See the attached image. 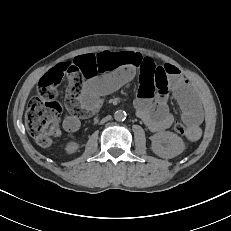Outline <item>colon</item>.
Here are the masks:
<instances>
[{"mask_svg":"<svg viewBox=\"0 0 231 231\" xmlns=\"http://www.w3.org/2000/svg\"><path fill=\"white\" fill-rule=\"evenodd\" d=\"M58 91L55 83L41 79L38 84V95L32 98L25 113L27 130L40 146L50 145L59 132L61 106L57 101ZM173 129L179 136H188L190 129L177 122Z\"/></svg>","mask_w":231,"mask_h":231,"instance_id":"5ec220e1","label":"colon"}]
</instances>
